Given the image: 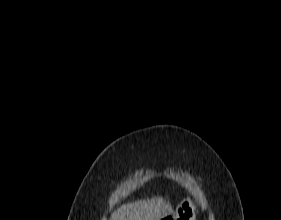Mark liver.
<instances>
[{"instance_id": "obj_1", "label": "liver", "mask_w": 281, "mask_h": 220, "mask_svg": "<svg viewBox=\"0 0 281 220\" xmlns=\"http://www.w3.org/2000/svg\"><path fill=\"white\" fill-rule=\"evenodd\" d=\"M172 212L170 203L158 196L123 205L113 212L110 220H161Z\"/></svg>"}]
</instances>
